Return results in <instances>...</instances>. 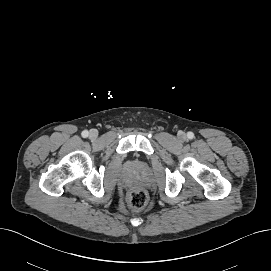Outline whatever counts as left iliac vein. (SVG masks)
Here are the masks:
<instances>
[{"label":"left iliac vein","instance_id":"left-iliac-vein-1","mask_svg":"<svg viewBox=\"0 0 271 271\" xmlns=\"http://www.w3.org/2000/svg\"><path fill=\"white\" fill-rule=\"evenodd\" d=\"M178 138L183 141V140L186 139V134L181 132V133L178 134Z\"/></svg>","mask_w":271,"mask_h":271}]
</instances>
